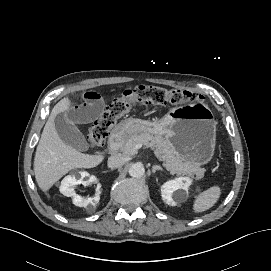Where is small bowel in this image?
<instances>
[{
	"label": "small bowel",
	"instance_id": "c3829d8e",
	"mask_svg": "<svg viewBox=\"0 0 271 271\" xmlns=\"http://www.w3.org/2000/svg\"><path fill=\"white\" fill-rule=\"evenodd\" d=\"M128 93L129 91L124 92L122 97ZM103 107L102 96L97 92L87 91L83 94V101L80 104L60 105L59 112L51 120L49 126L72 147L82 148L84 139L79 126L96 119L102 113ZM131 109L137 110L146 119H153L156 114L151 104L140 102L134 97L131 98Z\"/></svg>",
	"mask_w": 271,
	"mask_h": 271
}]
</instances>
